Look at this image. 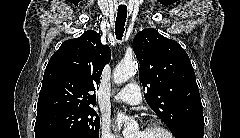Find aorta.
Instances as JSON below:
<instances>
[{"instance_id":"aorta-1","label":"aorta","mask_w":240,"mask_h":138,"mask_svg":"<svg viewBox=\"0 0 240 138\" xmlns=\"http://www.w3.org/2000/svg\"><path fill=\"white\" fill-rule=\"evenodd\" d=\"M137 68H138V64L134 60H129V61L124 60V61L120 62L116 66V68L113 72L114 82L116 84H122V83L128 81L134 75ZM117 120L127 124V128H125L123 133H124V136H126L128 138L130 135V130L134 126V122L132 120H130L128 118V116H126L122 113L117 114Z\"/></svg>"}]
</instances>
